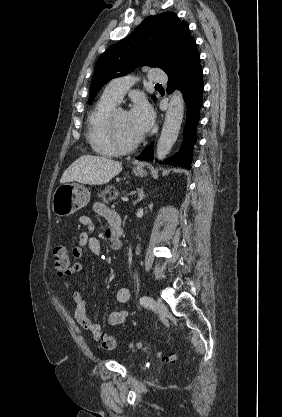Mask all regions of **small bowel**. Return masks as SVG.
Here are the masks:
<instances>
[{
    "instance_id": "obj_1",
    "label": "small bowel",
    "mask_w": 282,
    "mask_h": 417,
    "mask_svg": "<svg viewBox=\"0 0 282 417\" xmlns=\"http://www.w3.org/2000/svg\"><path fill=\"white\" fill-rule=\"evenodd\" d=\"M94 211L100 216L104 217L109 225L106 230V238L110 241L111 245L113 242H120V239L117 238L118 230L121 229L122 222L119 214L110 209L108 206L101 202H96L93 206ZM78 222L85 228L78 238V245L73 248L72 254L76 261L72 264L74 271H81L83 264L80 261L84 256V249H88L92 255L95 257L101 258L103 256V248L98 237L94 235L95 223L92 218L88 215H80ZM113 247V246H112ZM63 286L65 290H70V283L65 280L63 281ZM116 301L118 303L124 304L127 303L130 299V290L128 287H119L116 290ZM73 300L75 304V309L73 316L78 324L88 331L92 338L96 340H104L105 333L102 331L100 324L88 315V303L81 291L73 292ZM128 318V313L125 310H116L109 313L107 318V323L110 326H118L123 323Z\"/></svg>"
}]
</instances>
